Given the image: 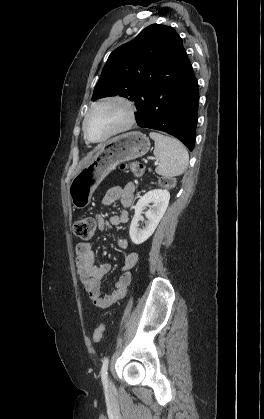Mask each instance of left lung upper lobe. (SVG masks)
<instances>
[{
    "label": "left lung upper lobe",
    "mask_w": 264,
    "mask_h": 419,
    "mask_svg": "<svg viewBox=\"0 0 264 419\" xmlns=\"http://www.w3.org/2000/svg\"><path fill=\"white\" fill-rule=\"evenodd\" d=\"M182 46V39L173 28L159 24L146 27L110 54L92 100L120 95L134 101L139 109L151 85L170 76Z\"/></svg>",
    "instance_id": "5c2ea615"
}]
</instances>
